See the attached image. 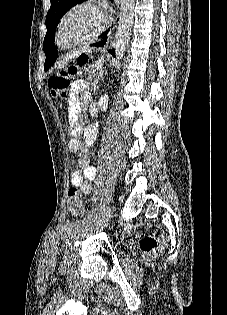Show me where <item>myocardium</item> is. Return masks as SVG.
Here are the masks:
<instances>
[{
  "label": "myocardium",
  "mask_w": 227,
  "mask_h": 315,
  "mask_svg": "<svg viewBox=\"0 0 227 315\" xmlns=\"http://www.w3.org/2000/svg\"><path fill=\"white\" fill-rule=\"evenodd\" d=\"M79 10H91L97 13L100 17V23L97 26V28L89 35L83 37L82 39L69 43V44H62L60 41L61 33L63 25L66 21V19L75 11ZM108 24V16L103 9V7L96 1H83L77 4L72 5L69 7L60 17L58 20V23L56 25L55 33H54V44L57 48L61 50H69L76 47L83 46L91 41H93L95 38H97L106 28Z\"/></svg>",
  "instance_id": "myocardium-1"
}]
</instances>
